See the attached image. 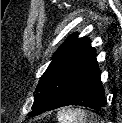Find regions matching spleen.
Returning <instances> with one entry per match:
<instances>
[{"label": "spleen", "mask_w": 122, "mask_h": 123, "mask_svg": "<svg viewBox=\"0 0 122 123\" xmlns=\"http://www.w3.org/2000/svg\"><path fill=\"white\" fill-rule=\"evenodd\" d=\"M89 118L93 123L95 115L82 109H62L57 114L59 123H87Z\"/></svg>", "instance_id": "spleen-1"}]
</instances>
